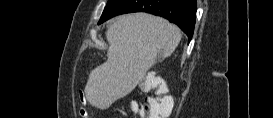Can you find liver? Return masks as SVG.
<instances>
[{"instance_id":"obj_1","label":"liver","mask_w":273,"mask_h":118,"mask_svg":"<svg viewBox=\"0 0 273 118\" xmlns=\"http://www.w3.org/2000/svg\"><path fill=\"white\" fill-rule=\"evenodd\" d=\"M106 39L107 61L90 73L85 87L89 103L100 109L132 92L156 61L169 57L181 32L161 17L139 12L115 18Z\"/></svg>"}]
</instances>
